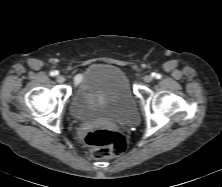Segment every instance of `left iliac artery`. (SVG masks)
I'll return each instance as SVG.
<instances>
[{
  "instance_id": "44dca946",
  "label": "left iliac artery",
  "mask_w": 222,
  "mask_h": 187,
  "mask_svg": "<svg viewBox=\"0 0 222 187\" xmlns=\"http://www.w3.org/2000/svg\"><path fill=\"white\" fill-rule=\"evenodd\" d=\"M153 76L156 77V78H158V79L161 78V75H160V74L153 73Z\"/></svg>"
}]
</instances>
